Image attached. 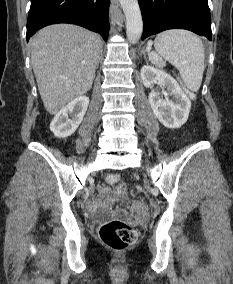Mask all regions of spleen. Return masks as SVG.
<instances>
[{
    "label": "spleen",
    "instance_id": "spleen-1",
    "mask_svg": "<svg viewBox=\"0 0 233 284\" xmlns=\"http://www.w3.org/2000/svg\"><path fill=\"white\" fill-rule=\"evenodd\" d=\"M154 47L156 52L149 54L150 61L156 62L162 57L179 70L190 91L199 90L205 69V54L198 36L186 30H168L156 36Z\"/></svg>",
    "mask_w": 233,
    "mask_h": 284
}]
</instances>
